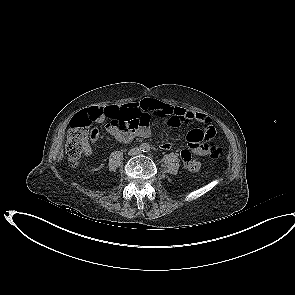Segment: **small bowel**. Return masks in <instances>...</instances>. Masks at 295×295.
<instances>
[{
	"label": "small bowel",
	"instance_id": "small-bowel-1",
	"mask_svg": "<svg viewBox=\"0 0 295 295\" xmlns=\"http://www.w3.org/2000/svg\"><path fill=\"white\" fill-rule=\"evenodd\" d=\"M114 111L115 119L105 124L106 131L118 142L129 143L136 137L146 138L151 135L149 126L150 114L165 118L170 127H178L182 123L198 121L203 125L202 129L194 128L187 134L188 149H183L180 156L183 164L189 169H198L200 167L199 157L208 153V144L204 141L211 140L215 137L216 131L210 117L201 112L191 111L182 107L174 106L157 99L145 98L138 102L127 103L120 106L106 107ZM106 108L91 107L83 113L92 122L103 123L105 121L104 111ZM137 120L139 126L136 129L129 130L120 128L117 125L121 119ZM99 136L98 130L92 134V141H97ZM172 144L169 141H162V149H170ZM86 154H92V149L87 147Z\"/></svg>",
	"mask_w": 295,
	"mask_h": 295
}]
</instances>
